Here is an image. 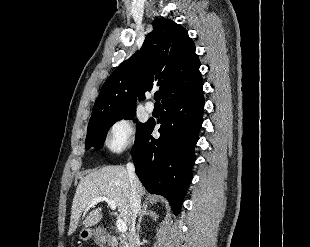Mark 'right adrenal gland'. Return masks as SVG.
<instances>
[{
	"label": "right adrenal gland",
	"mask_w": 310,
	"mask_h": 247,
	"mask_svg": "<svg viewBox=\"0 0 310 247\" xmlns=\"http://www.w3.org/2000/svg\"><path fill=\"white\" fill-rule=\"evenodd\" d=\"M144 216H149L155 221L158 219L157 213L154 212L153 210H149L148 205L144 203L142 206V209L139 213V220H138V224H137V232L138 233L140 232V224H141Z\"/></svg>",
	"instance_id": "obj_1"
}]
</instances>
